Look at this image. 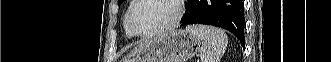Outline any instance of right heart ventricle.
Masks as SVG:
<instances>
[{"instance_id": "right-heart-ventricle-1", "label": "right heart ventricle", "mask_w": 331, "mask_h": 62, "mask_svg": "<svg viewBox=\"0 0 331 62\" xmlns=\"http://www.w3.org/2000/svg\"><path fill=\"white\" fill-rule=\"evenodd\" d=\"M127 15H128V13H126V15L124 17V22H123L124 31L128 38H133L134 35L131 33L129 26H128Z\"/></svg>"}]
</instances>
